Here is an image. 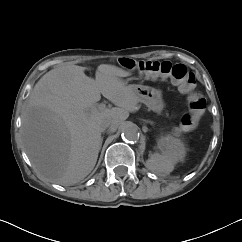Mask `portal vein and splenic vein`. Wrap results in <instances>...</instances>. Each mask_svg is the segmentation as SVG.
<instances>
[{"instance_id":"18ae733b","label":"portal vein and splenic vein","mask_w":242,"mask_h":242,"mask_svg":"<svg viewBox=\"0 0 242 242\" xmlns=\"http://www.w3.org/2000/svg\"><path fill=\"white\" fill-rule=\"evenodd\" d=\"M105 108H106V105L103 103L98 105V110H104ZM94 109H96V108H93L92 110H94Z\"/></svg>"}]
</instances>
